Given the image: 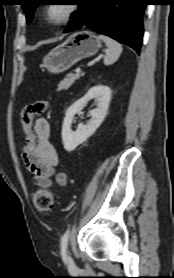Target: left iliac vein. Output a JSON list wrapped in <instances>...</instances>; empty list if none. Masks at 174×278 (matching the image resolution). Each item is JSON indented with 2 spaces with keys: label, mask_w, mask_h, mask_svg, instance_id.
<instances>
[{
  "label": "left iliac vein",
  "mask_w": 174,
  "mask_h": 278,
  "mask_svg": "<svg viewBox=\"0 0 174 278\" xmlns=\"http://www.w3.org/2000/svg\"><path fill=\"white\" fill-rule=\"evenodd\" d=\"M68 262H69V265H71L73 263V260L70 256L68 257Z\"/></svg>",
  "instance_id": "1"
}]
</instances>
